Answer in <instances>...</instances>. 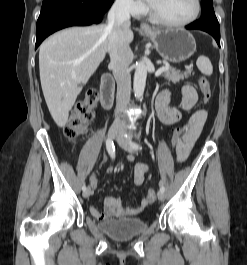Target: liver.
I'll use <instances>...</instances> for the list:
<instances>
[{"label":"liver","instance_id":"obj_1","mask_svg":"<svg viewBox=\"0 0 247 265\" xmlns=\"http://www.w3.org/2000/svg\"><path fill=\"white\" fill-rule=\"evenodd\" d=\"M128 43L134 34L125 31ZM108 51L107 25L72 27L45 40L39 50V71L49 112L64 127L82 86L88 82Z\"/></svg>","mask_w":247,"mask_h":265}]
</instances>
